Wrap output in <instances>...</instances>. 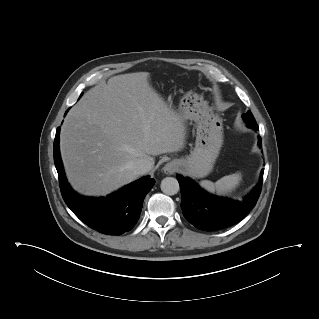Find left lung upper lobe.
<instances>
[{
	"label": "left lung upper lobe",
	"mask_w": 319,
	"mask_h": 319,
	"mask_svg": "<svg viewBox=\"0 0 319 319\" xmlns=\"http://www.w3.org/2000/svg\"><path fill=\"white\" fill-rule=\"evenodd\" d=\"M244 121L247 123V124H251V125H256V121L252 115V113L250 111H247V113H244L242 115Z\"/></svg>",
	"instance_id": "obj_1"
}]
</instances>
